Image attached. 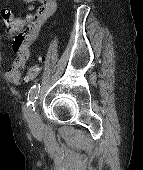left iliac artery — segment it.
<instances>
[{
    "label": "left iliac artery",
    "mask_w": 143,
    "mask_h": 170,
    "mask_svg": "<svg viewBox=\"0 0 143 170\" xmlns=\"http://www.w3.org/2000/svg\"><path fill=\"white\" fill-rule=\"evenodd\" d=\"M40 87H41L40 83H37L33 87H31V89L29 90L28 103H27V108H26L27 113H31V112L35 111L34 103L36 102V100L38 98Z\"/></svg>",
    "instance_id": "1"
}]
</instances>
